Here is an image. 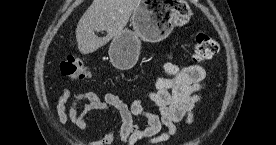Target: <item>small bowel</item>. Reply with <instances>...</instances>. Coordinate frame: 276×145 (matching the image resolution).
Returning <instances> with one entry per match:
<instances>
[{
	"mask_svg": "<svg viewBox=\"0 0 276 145\" xmlns=\"http://www.w3.org/2000/svg\"><path fill=\"white\" fill-rule=\"evenodd\" d=\"M163 70L166 76L157 79L155 91L148 96L159 114L147 111L140 99L128 104L113 92L102 98L90 91L72 94L64 90L55 105L58 120L63 126L70 122L79 130H85L90 112L100 111L111 116V110L115 109L121 120L118 134L123 145H135L144 139L150 145L164 143L175 134L178 123L193 122L194 108L201 100L205 70L200 65L179 67L172 61L166 62ZM81 103L84 104L80 107ZM136 116L143 117L147 126L139 127L134 122ZM114 139L115 130L109 125L103 136L89 145H111Z\"/></svg>",
	"mask_w": 276,
	"mask_h": 145,
	"instance_id": "obj_1",
	"label": "small bowel"
}]
</instances>
